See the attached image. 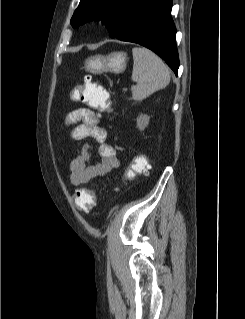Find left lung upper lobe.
Masks as SVG:
<instances>
[{
  "label": "left lung upper lobe",
  "mask_w": 245,
  "mask_h": 319,
  "mask_svg": "<svg viewBox=\"0 0 245 319\" xmlns=\"http://www.w3.org/2000/svg\"><path fill=\"white\" fill-rule=\"evenodd\" d=\"M143 0H81L75 10L71 24L77 27L89 20H103L110 37L114 38L133 9Z\"/></svg>",
  "instance_id": "5c2ea615"
}]
</instances>
